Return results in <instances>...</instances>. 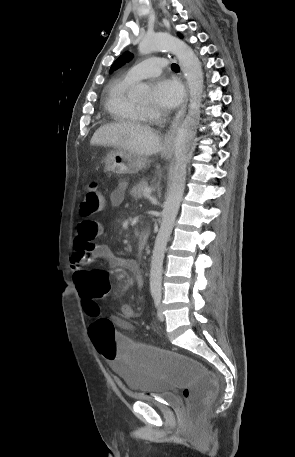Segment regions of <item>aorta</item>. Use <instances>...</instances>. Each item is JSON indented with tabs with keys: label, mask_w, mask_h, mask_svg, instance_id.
Wrapping results in <instances>:
<instances>
[{
	"label": "aorta",
	"mask_w": 295,
	"mask_h": 457,
	"mask_svg": "<svg viewBox=\"0 0 295 457\" xmlns=\"http://www.w3.org/2000/svg\"><path fill=\"white\" fill-rule=\"evenodd\" d=\"M138 50L142 55L159 50H168L175 54L187 80L190 92L188 113L175 138V164L170 176L168 195L162 211V222L155 240L151 260L150 291L151 294H161L162 268L166 245L183 197L191 142L196 135L200 121L204 88L203 71L201 62L193 50L185 42L169 34L155 33L146 35L139 43ZM148 93L149 88L145 84H141L137 88L139 96H146Z\"/></svg>",
	"instance_id": "aorta-1"
}]
</instances>
